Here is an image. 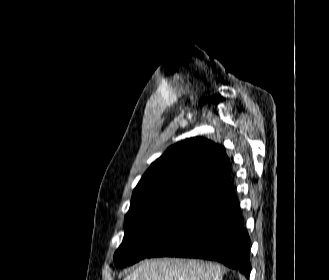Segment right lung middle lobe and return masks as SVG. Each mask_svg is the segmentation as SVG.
<instances>
[{"mask_svg": "<svg viewBox=\"0 0 329 280\" xmlns=\"http://www.w3.org/2000/svg\"><path fill=\"white\" fill-rule=\"evenodd\" d=\"M205 199L173 196L145 204L125 217L123 242L114 255L120 267L149 257L165 240L193 216Z\"/></svg>", "mask_w": 329, "mask_h": 280, "instance_id": "dd1d6c3e", "label": "right lung middle lobe"}]
</instances>
